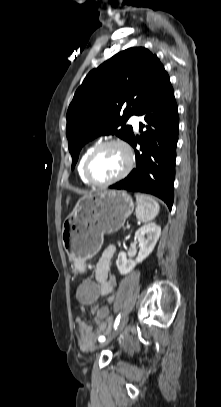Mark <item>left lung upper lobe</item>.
<instances>
[{"instance_id":"left-lung-upper-lobe-1","label":"left lung upper lobe","mask_w":221,"mask_h":407,"mask_svg":"<svg viewBox=\"0 0 221 407\" xmlns=\"http://www.w3.org/2000/svg\"><path fill=\"white\" fill-rule=\"evenodd\" d=\"M168 74L144 47L121 51L88 73L67 111V131L74 168L81 148L100 135L116 134L130 142L125 122L138 115Z\"/></svg>"}]
</instances>
